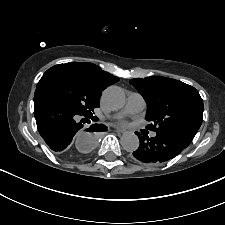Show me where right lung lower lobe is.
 Returning a JSON list of instances; mask_svg holds the SVG:
<instances>
[{
  "label": "right lung lower lobe",
  "instance_id": "1",
  "mask_svg": "<svg viewBox=\"0 0 225 225\" xmlns=\"http://www.w3.org/2000/svg\"><path fill=\"white\" fill-rule=\"evenodd\" d=\"M34 115L38 131L50 149L68 159H77L78 156L70 152L73 140L82 129L83 121L90 117L79 114L69 105L41 90L35 91ZM79 118H82L80 122ZM103 130L107 128L101 124H93L86 129L88 132ZM86 136L90 140L87 152L93 146L96 136L95 133H87Z\"/></svg>",
  "mask_w": 225,
  "mask_h": 225
}]
</instances>
